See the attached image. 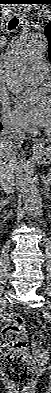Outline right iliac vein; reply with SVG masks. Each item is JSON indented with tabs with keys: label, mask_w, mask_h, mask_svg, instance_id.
Listing matches in <instances>:
<instances>
[{
	"label": "right iliac vein",
	"mask_w": 51,
	"mask_h": 393,
	"mask_svg": "<svg viewBox=\"0 0 51 393\" xmlns=\"http://www.w3.org/2000/svg\"><path fill=\"white\" fill-rule=\"evenodd\" d=\"M6 300L4 299V298H2L1 300H0V306H1V308H5L6 307Z\"/></svg>",
	"instance_id": "63e3f726"
}]
</instances>
